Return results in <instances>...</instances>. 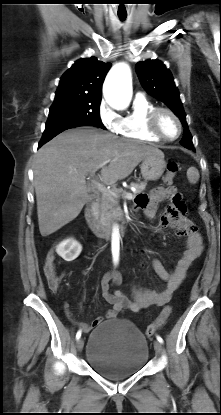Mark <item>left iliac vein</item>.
I'll use <instances>...</instances> for the list:
<instances>
[{"instance_id":"4c4485c4","label":"left iliac vein","mask_w":221,"mask_h":415,"mask_svg":"<svg viewBox=\"0 0 221 415\" xmlns=\"http://www.w3.org/2000/svg\"><path fill=\"white\" fill-rule=\"evenodd\" d=\"M154 349L157 354H160L162 352V345L159 341H154Z\"/></svg>"}]
</instances>
